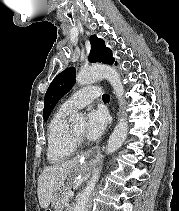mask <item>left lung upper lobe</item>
I'll return each mask as SVG.
<instances>
[{
	"mask_svg": "<svg viewBox=\"0 0 179 211\" xmlns=\"http://www.w3.org/2000/svg\"><path fill=\"white\" fill-rule=\"evenodd\" d=\"M91 51L89 54L90 62H102L107 64H113L114 58H112V52L105 46L104 40L97 38L96 35L90 37ZM74 67H70L60 74L51 82L44 98V110L43 117L44 121L48 119L49 114L58 102L75 83Z\"/></svg>",
	"mask_w": 179,
	"mask_h": 211,
	"instance_id": "left-lung-upper-lobe-1",
	"label": "left lung upper lobe"
}]
</instances>
